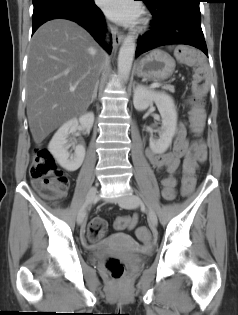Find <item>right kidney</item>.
I'll return each instance as SVG.
<instances>
[{
    "mask_svg": "<svg viewBox=\"0 0 238 315\" xmlns=\"http://www.w3.org/2000/svg\"><path fill=\"white\" fill-rule=\"evenodd\" d=\"M94 123L93 112H87L78 119L73 118L64 123L54 134L48 149L58 164L67 171H76L83 163L85 158V147L83 145L73 146L74 153L71 154L68 149L73 145L68 142L70 134L76 132L81 127L90 131Z\"/></svg>",
    "mask_w": 238,
    "mask_h": 315,
    "instance_id": "1",
    "label": "right kidney"
}]
</instances>
